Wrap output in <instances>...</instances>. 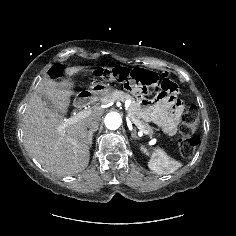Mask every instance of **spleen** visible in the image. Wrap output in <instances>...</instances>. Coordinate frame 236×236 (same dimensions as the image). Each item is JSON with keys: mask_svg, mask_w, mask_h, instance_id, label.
Listing matches in <instances>:
<instances>
[{"mask_svg": "<svg viewBox=\"0 0 236 236\" xmlns=\"http://www.w3.org/2000/svg\"><path fill=\"white\" fill-rule=\"evenodd\" d=\"M182 166V163L169 157L161 148L154 150L152 158L148 161L150 170L157 174H171Z\"/></svg>", "mask_w": 236, "mask_h": 236, "instance_id": "3e777b00", "label": "spleen"}]
</instances>
